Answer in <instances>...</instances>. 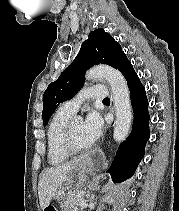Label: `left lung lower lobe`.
Listing matches in <instances>:
<instances>
[{"instance_id": "1", "label": "left lung lower lobe", "mask_w": 179, "mask_h": 211, "mask_svg": "<svg viewBox=\"0 0 179 211\" xmlns=\"http://www.w3.org/2000/svg\"><path fill=\"white\" fill-rule=\"evenodd\" d=\"M118 69L122 72L128 83L134 120L129 137L119 146L112 165L107 172L111 174L114 182H123L134 174L138 164L144 157V148L150 133L145 88L127 57L121 60Z\"/></svg>"}]
</instances>
